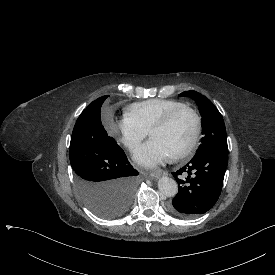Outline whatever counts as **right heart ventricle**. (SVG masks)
I'll list each match as a JSON object with an SVG mask.
<instances>
[{"label": "right heart ventricle", "instance_id": "obj_1", "mask_svg": "<svg viewBox=\"0 0 275 275\" xmlns=\"http://www.w3.org/2000/svg\"><path fill=\"white\" fill-rule=\"evenodd\" d=\"M186 106L183 102L173 99H150L131 104L126 109V115L133 118L147 131L170 111Z\"/></svg>", "mask_w": 275, "mask_h": 275}]
</instances>
